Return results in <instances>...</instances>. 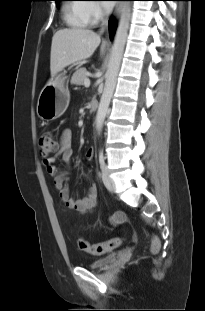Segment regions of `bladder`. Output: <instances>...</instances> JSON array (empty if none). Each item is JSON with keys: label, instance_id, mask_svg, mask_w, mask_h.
Listing matches in <instances>:
<instances>
[{"label": "bladder", "instance_id": "1", "mask_svg": "<svg viewBox=\"0 0 205 311\" xmlns=\"http://www.w3.org/2000/svg\"><path fill=\"white\" fill-rule=\"evenodd\" d=\"M115 258V254L107 255L103 258L90 262L86 267L90 270H102L109 265Z\"/></svg>", "mask_w": 205, "mask_h": 311}]
</instances>
